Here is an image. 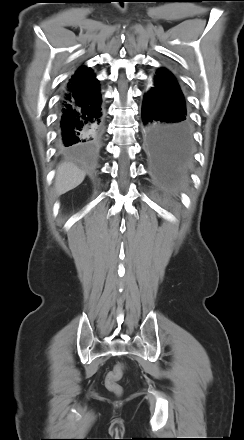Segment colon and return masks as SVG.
<instances>
[{
	"mask_svg": "<svg viewBox=\"0 0 244 440\" xmlns=\"http://www.w3.org/2000/svg\"><path fill=\"white\" fill-rule=\"evenodd\" d=\"M123 371L124 365L118 364L107 374L105 379L107 389L116 395H120L122 393V387L119 384V381L122 378Z\"/></svg>",
	"mask_w": 244,
	"mask_h": 440,
	"instance_id": "colon-1",
	"label": "colon"
}]
</instances>
